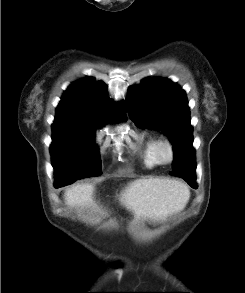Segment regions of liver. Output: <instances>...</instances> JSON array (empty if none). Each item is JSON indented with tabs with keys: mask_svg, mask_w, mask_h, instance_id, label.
I'll list each match as a JSON object with an SVG mask.
<instances>
[{
	"mask_svg": "<svg viewBox=\"0 0 245 293\" xmlns=\"http://www.w3.org/2000/svg\"><path fill=\"white\" fill-rule=\"evenodd\" d=\"M93 184H77L68 188L65 201L69 206L93 204ZM190 192L179 181L167 178L138 179L130 182L120 194V202L132 211L136 219H165L182 211L188 203Z\"/></svg>",
	"mask_w": 245,
	"mask_h": 293,
	"instance_id": "1",
	"label": "liver"
}]
</instances>
